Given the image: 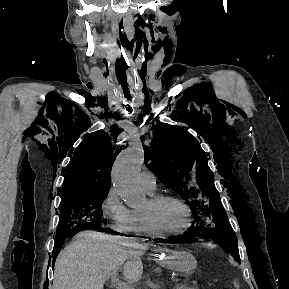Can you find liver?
Wrapping results in <instances>:
<instances>
[{
  "instance_id": "1",
  "label": "liver",
  "mask_w": 289,
  "mask_h": 289,
  "mask_svg": "<svg viewBox=\"0 0 289 289\" xmlns=\"http://www.w3.org/2000/svg\"><path fill=\"white\" fill-rule=\"evenodd\" d=\"M145 250L143 245L125 246L101 232H81L57 257L53 289H103L110 273L122 265L125 279L135 283L143 273Z\"/></svg>"
}]
</instances>
